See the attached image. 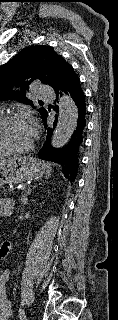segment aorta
<instances>
[{
    "label": "aorta",
    "mask_w": 118,
    "mask_h": 320,
    "mask_svg": "<svg viewBox=\"0 0 118 320\" xmlns=\"http://www.w3.org/2000/svg\"><path fill=\"white\" fill-rule=\"evenodd\" d=\"M78 119L77 107L70 96L63 95L59 100V118L51 138L54 148L63 147L71 138Z\"/></svg>",
    "instance_id": "1"
}]
</instances>
